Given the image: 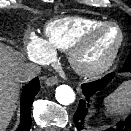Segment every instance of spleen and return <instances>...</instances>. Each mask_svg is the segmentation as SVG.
<instances>
[{
  "label": "spleen",
  "instance_id": "obj_1",
  "mask_svg": "<svg viewBox=\"0 0 131 131\" xmlns=\"http://www.w3.org/2000/svg\"><path fill=\"white\" fill-rule=\"evenodd\" d=\"M109 113H124L131 108V81L120 85L113 93L104 99Z\"/></svg>",
  "mask_w": 131,
  "mask_h": 131
}]
</instances>
